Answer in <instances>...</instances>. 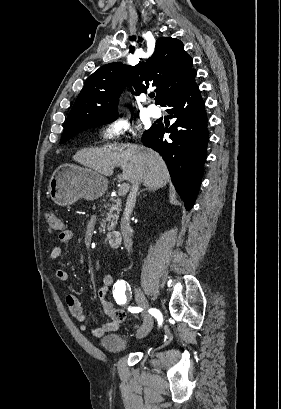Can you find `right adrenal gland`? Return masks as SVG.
<instances>
[{
    "mask_svg": "<svg viewBox=\"0 0 281 409\" xmlns=\"http://www.w3.org/2000/svg\"><path fill=\"white\" fill-rule=\"evenodd\" d=\"M142 190H157V188H152V186H147V188H142ZM142 190H139L138 194H141Z\"/></svg>",
    "mask_w": 281,
    "mask_h": 409,
    "instance_id": "1",
    "label": "right adrenal gland"
}]
</instances>
